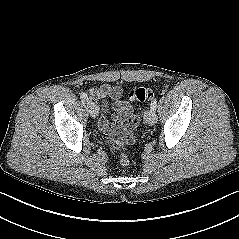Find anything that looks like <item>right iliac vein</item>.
Masks as SVG:
<instances>
[{
  "label": "right iliac vein",
  "instance_id": "right-iliac-vein-1",
  "mask_svg": "<svg viewBox=\"0 0 239 239\" xmlns=\"http://www.w3.org/2000/svg\"><path fill=\"white\" fill-rule=\"evenodd\" d=\"M87 108H88V111H89L90 115L93 118H96L98 116V113H99L98 112V107L92 100L87 101Z\"/></svg>",
  "mask_w": 239,
  "mask_h": 239
}]
</instances>
